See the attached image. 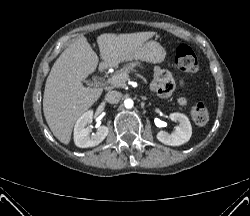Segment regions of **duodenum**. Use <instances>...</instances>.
Returning <instances> with one entry per match:
<instances>
[{"mask_svg":"<svg viewBox=\"0 0 250 216\" xmlns=\"http://www.w3.org/2000/svg\"><path fill=\"white\" fill-rule=\"evenodd\" d=\"M100 70H101V72H103V70H104V66H102Z\"/></svg>","mask_w":250,"mask_h":216,"instance_id":"410a0bca","label":"duodenum"}]
</instances>
